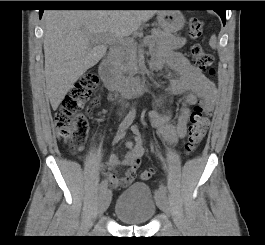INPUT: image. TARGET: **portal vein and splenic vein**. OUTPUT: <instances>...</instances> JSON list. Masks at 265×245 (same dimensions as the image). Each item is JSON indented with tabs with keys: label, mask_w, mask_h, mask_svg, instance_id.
Here are the masks:
<instances>
[{
	"label": "portal vein and splenic vein",
	"mask_w": 265,
	"mask_h": 245,
	"mask_svg": "<svg viewBox=\"0 0 265 245\" xmlns=\"http://www.w3.org/2000/svg\"><path fill=\"white\" fill-rule=\"evenodd\" d=\"M104 38H105V36L96 35V36L94 37V41H95V42H101V41L104 40ZM143 42H144V44H147V43H149V39H148V38H145V39L143 40Z\"/></svg>",
	"instance_id": "obj_1"
}]
</instances>
